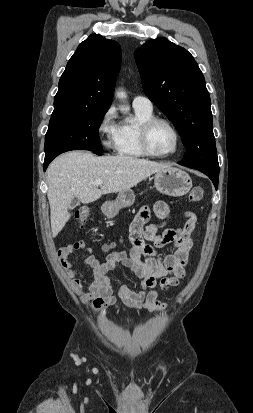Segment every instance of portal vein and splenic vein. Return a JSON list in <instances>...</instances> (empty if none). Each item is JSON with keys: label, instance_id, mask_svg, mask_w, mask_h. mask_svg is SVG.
<instances>
[{"label": "portal vein and splenic vein", "instance_id": "portal-vein-and-splenic-vein-1", "mask_svg": "<svg viewBox=\"0 0 253 413\" xmlns=\"http://www.w3.org/2000/svg\"><path fill=\"white\" fill-rule=\"evenodd\" d=\"M103 184V181L102 180H97V181H95V185H102Z\"/></svg>", "mask_w": 253, "mask_h": 413}]
</instances>
